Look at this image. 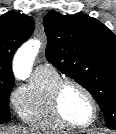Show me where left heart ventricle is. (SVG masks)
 Masks as SVG:
<instances>
[{
	"label": "left heart ventricle",
	"instance_id": "left-heart-ventricle-1",
	"mask_svg": "<svg viewBox=\"0 0 116 134\" xmlns=\"http://www.w3.org/2000/svg\"><path fill=\"white\" fill-rule=\"evenodd\" d=\"M61 107L64 115L77 124H86L92 117V106L88 97L74 86H67L64 89Z\"/></svg>",
	"mask_w": 116,
	"mask_h": 134
}]
</instances>
